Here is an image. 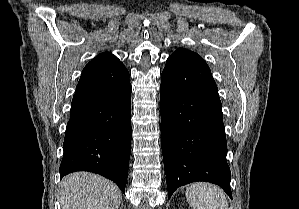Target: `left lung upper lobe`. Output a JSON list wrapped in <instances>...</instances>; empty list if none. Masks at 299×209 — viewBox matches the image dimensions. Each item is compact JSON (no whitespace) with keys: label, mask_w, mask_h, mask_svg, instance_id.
Listing matches in <instances>:
<instances>
[{"label":"left lung upper lobe","mask_w":299,"mask_h":209,"mask_svg":"<svg viewBox=\"0 0 299 209\" xmlns=\"http://www.w3.org/2000/svg\"><path fill=\"white\" fill-rule=\"evenodd\" d=\"M169 58L180 61L205 63V61L197 53L184 48L177 49Z\"/></svg>","instance_id":"obj_1"}]
</instances>
